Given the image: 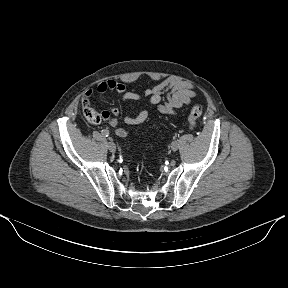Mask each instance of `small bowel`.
Here are the masks:
<instances>
[{
	"label": "small bowel",
	"instance_id": "1",
	"mask_svg": "<svg viewBox=\"0 0 288 288\" xmlns=\"http://www.w3.org/2000/svg\"><path fill=\"white\" fill-rule=\"evenodd\" d=\"M107 91L118 93L123 103L147 98L149 103L155 106L160 113L172 117L176 116L177 109L189 105L197 95L194 86L190 82L176 77H169L156 86L146 89L142 94L128 90L126 85L120 81L109 79L98 83L95 89H88L83 96V100L88 101L94 93L102 94ZM101 114L103 120L108 121L118 137L128 136L129 130L122 127L117 119L121 114L119 108L112 107L104 110ZM148 118L149 111L144 109L135 116L126 115L123 120L125 124L133 126L144 123Z\"/></svg>",
	"mask_w": 288,
	"mask_h": 288
}]
</instances>
